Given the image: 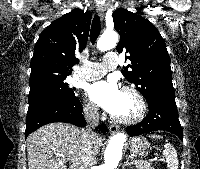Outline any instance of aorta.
Returning a JSON list of instances; mask_svg holds the SVG:
<instances>
[{
	"instance_id": "obj_1",
	"label": "aorta",
	"mask_w": 200,
	"mask_h": 169,
	"mask_svg": "<svg viewBox=\"0 0 200 169\" xmlns=\"http://www.w3.org/2000/svg\"><path fill=\"white\" fill-rule=\"evenodd\" d=\"M119 36L115 31L104 32L97 42V47L100 51H107L117 45ZM126 134L119 132L111 137L109 144L104 153V162L99 166V169H115L117 168L121 157Z\"/></svg>"
}]
</instances>
